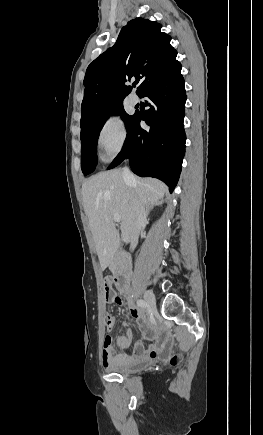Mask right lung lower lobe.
<instances>
[{
    "mask_svg": "<svg viewBox=\"0 0 263 435\" xmlns=\"http://www.w3.org/2000/svg\"><path fill=\"white\" fill-rule=\"evenodd\" d=\"M178 62L153 81L139 96L148 97L144 113H135L125 146L108 169L128 158L132 171L141 177L162 180L172 192L178 182L185 154L183 128L186 93ZM144 120L149 129L140 127Z\"/></svg>",
    "mask_w": 263,
    "mask_h": 435,
    "instance_id": "obj_1",
    "label": "right lung lower lobe"
}]
</instances>
